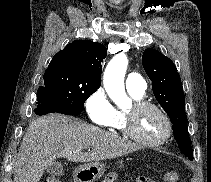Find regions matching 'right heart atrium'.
<instances>
[{"label":"right heart atrium","instance_id":"d8ad5b80","mask_svg":"<svg viewBox=\"0 0 211 182\" xmlns=\"http://www.w3.org/2000/svg\"><path fill=\"white\" fill-rule=\"evenodd\" d=\"M85 110L90 121L98 126H107L115 113V108L102 87L97 88L86 98Z\"/></svg>","mask_w":211,"mask_h":182}]
</instances>
